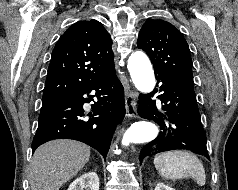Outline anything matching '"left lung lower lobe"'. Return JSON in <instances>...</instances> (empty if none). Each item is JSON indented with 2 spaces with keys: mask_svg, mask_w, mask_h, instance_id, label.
<instances>
[{
  "mask_svg": "<svg viewBox=\"0 0 238 190\" xmlns=\"http://www.w3.org/2000/svg\"><path fill=\"white\" fill-rule=\"evenodd\" d=\"M156 79L161 82L159 87L162 106L156 107V102L150 98L157 90L148 95H140L141 105L138 114L152 120L160 126L156 139L145 145L140 153V162L150 154L164 151L185 149L209 158L206 147L200 113L197 107L194 83L166 73H156Z\"/></svg>",
  "mask_w": 238,
  "mask_h": 190,
  "instance_id": "0a47b994",
  "label": "left lung lower lobe"
}]
</instances>
